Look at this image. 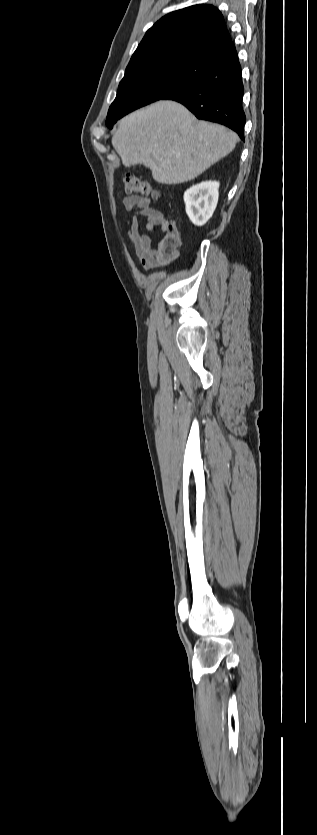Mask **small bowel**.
Instances as JSON below:
<instances>
[{
    "label": "small bowel",
    "mask_w": 317,
    "mask_h": 835,
    "mask_svg": "<svg viewBox=\"0 0 317 835\" xmlns=\"http://www.w3.org/2000/svg\"><path fill=\"white\" fill-rule=\"evenodd\" d=\"M123 205L126 211L134 213L127 234L141 265L146 270L167 266L170 259L164 257L158 248L152 246L149 235L156 227H161L165 231L168 220L164 214L159 209L152 207L150 198L145 196H128L124 199ZM138 216L144 219L143 228Z\"/></svg>",
    "instance_id": "obj_1"
}]
</instances>
